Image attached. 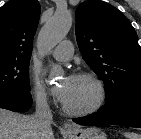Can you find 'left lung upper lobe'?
Masks as SVG:
<instances>
[{
    "mask_svg": "<svg viewBox=\"0 0 141 139\" xmlns=\"http://www.w3.org/2000/svg\"><path fill=\"white\" fill-rule=\"evenodd\" d=\"M76 39L83 59L103 80L105 102L141 91V48L127 17L103 1L76 10Z\"/></svg>",
    "mask_w": 141,
    "mask_h": 139,
    "instance_id": "left-lung-upper-lobe-1",
    "label": "left lung upper lobe"
}]
</instances>
